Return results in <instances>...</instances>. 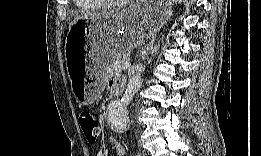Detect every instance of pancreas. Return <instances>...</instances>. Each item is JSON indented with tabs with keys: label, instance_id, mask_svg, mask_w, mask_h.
Segmentation results:
<instances>
[{
	"label": "pancreas",
	"instance_id": "1",
	"mask_svg": "<svg viewBox=\"0 0 261 156\" xmlns=\"http://www.w3.org/2000/svg\"><path fill=\"white\" fill-rule=\"evenodd\" d=\"M126 61H129V57L126 53H117L113 55V57L104 67L105 75L110 76L112 74L121 72L123 70L121 66Z\"/></svg>",
	"mask_w": 261,
	"mask_h": 156
}]
</instances>
